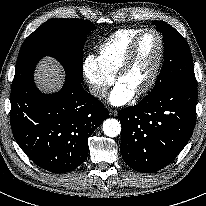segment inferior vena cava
<instances>
[{"label":"inferior vena cava","mask_w":206,"mask_h":206,"mask_svg":"<svg viewBox=\"0 0 206 206\" xmlns=\"http://www.w3.org/2000/svg\"><path fill=\"white\" fill-rule=\"evenodd\" d=\"M89 91L97 98H104L107 95V88L98 84L89 86Z\"/></svg>","instance_id":"inferior-vena-cava-1"}]
</instances>
